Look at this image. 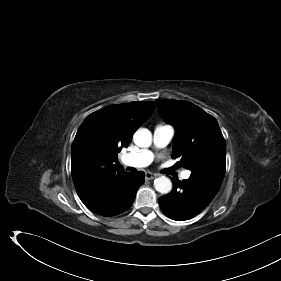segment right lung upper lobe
I'll use <instances>...</instances> for the list:
<instances>
[{"instance_id": "cb5924a9", "label": "right lung upper lobe", "mask_w": 281, "mask_h": 281, "mask_svg": "<svg viewBox=\"0 0 281 281\" xmlns=\"http://www.w3.org/2000/svg\"><path fill=\"white\" fill-rule=\"evenodd\" d=\"M155 109L154 102L106 106L93 112L79 127L72 144L71 173L81 200L102 185L126 173L117 154Z\"/></svg>"}]
</instances>
